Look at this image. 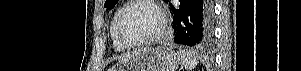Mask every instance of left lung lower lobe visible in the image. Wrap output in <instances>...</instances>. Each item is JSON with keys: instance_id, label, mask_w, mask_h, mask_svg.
<instances>
[{"instance_id": "0a47b994", "label": "left lung lower lobe", "mask_w": 301, "mask_h": 71, "mask_svg": "<svg viewBox=\"0 0 301 71\" xmlns=\"http://www.w3.org/2000/svg\"><path fill=\"white\" fill-rule=\"evenodd\" d=\"M173 11L174 41L190 47H207L213 39V10L210 0H178Z\"/></svg>"}]
</instances>
